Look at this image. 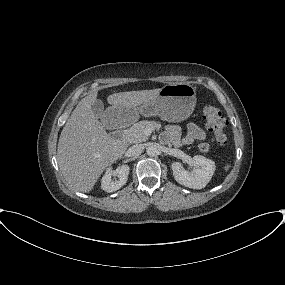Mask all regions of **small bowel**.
I'll return each mask as SVG.
<instances>
[{
	"label": "small bowel",
	"instance_id": "c3829d8e",
	"mask_svg": "<svg viewBox=\"0 0 285 285\" xmlns=\"http://www.w3.org/2000/svg\"><path fill=\"white\" fill-rule=\"evenodd\" d=\"M204 130L195 123H189L187 133L181 136V130L177 125H168L165 127L163 139L171 143L175 147L192 144L194 141L203 140L205 138Z\"/></svg>",
	"mask_w": 285,
	"mask_h": 285
}]
</instances>
